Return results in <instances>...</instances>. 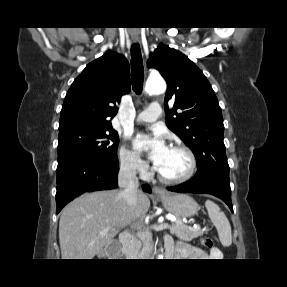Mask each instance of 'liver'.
Segmentation results:
<instances>
[{
    "mask_svg": "<svg viewBox=\"0 0 287 287\" xmlns=\"http://www.w3.org/2000/svg\"><path fill=\"white\" fill-rule=\"evenodd\" d=\"M150 207L148 196L137 193V207H130L121 191L86 193L61 212L59 242L62 259H93L118 232L143 218Z\"/></svg>",
    "mask_w": 287,
    "mask_h": 287,
    "instance_id": "liver-1",
    "label": "liver"
}]
</instances>
